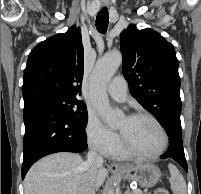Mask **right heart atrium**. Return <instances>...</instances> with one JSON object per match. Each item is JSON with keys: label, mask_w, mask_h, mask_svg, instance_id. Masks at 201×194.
<instances>
[{"label": "right heart atrium", "mask_w": 201, "mask_h": 194, "mask_svg": "<svg viewBox=\"0 0 201 194\" xmlns=\"http://www.w3.org/2000/svg\"><path fill=\"white\" fill-rule=\"evenodd\" d=\"M85 134L89 146L102 155H109L120 145L119 136L106 128L93 113L87 117Z\"/></svg>", "instance_id": "right-heart-atrium-1"}]
</instances>
